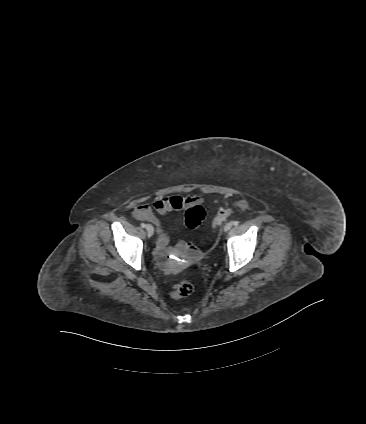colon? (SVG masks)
Segmentation results:
<instances>
[{
	"mask_svg": "<svg viewBox=\"0 0 366 424\" xmlns=\"http://www.w3.org/2000/svg\"><path fill=\"white\" fill-rule=\"evenodd\" d=\"M232 214L231 208H221L212 221L215 228L221 225ZM205 218V210L201 205H194L185 212V223L189 228L198 227ZM189 253L193 256L198 255V250L194 246L189 247ZM193 292V286L187 281H182L174 285L171 289V296L174 298L187 297Z\"/></svg>",
	"mask_w": 366,
	"mask_h": 424,
	"instance_id": "colon-1",
	"label": "colon"
}]
</instances>
